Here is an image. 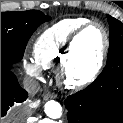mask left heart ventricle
Listing matches in <instances>:
<instances>
[{
	"instance_id": "1",
	"label": "left heart ventricle",
	"mask_w": 123,
	"mask_h": 123,
	"mask_svg": "<svg viewBox=\"0 0 123 123\" xmlns=\"http://www.w3.org/2000/svg\"><path fill=\"white\" fill-rule=\"evenodd\" d=\"M104 38L97 26H91L78 40L74 52V69L84 75L95 64L102 49Z\"/></svg>"
}]
</instances>
